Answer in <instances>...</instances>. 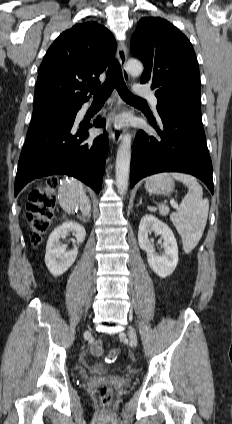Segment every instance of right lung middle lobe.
Returning <instances> with one entry per match:
<instances>
[{"mask_svg": "<svg viewBox=\"0 0 232 424\" xmlns=\"http://www.w3.org/2000/svg\"><path fill=\"white\" fill-rule=\"evenodd\" d=\"M78 106H63V105H49L44 106L40 108H34V112L32 115V121H41L43 119V114L48 113L50 110L54 109H69V110H76Z\"/></svg>", "mask_w": 232, "mask_h": 424, "instance_id": "1", "label": "right lung middle lobe"}]
</instances>
